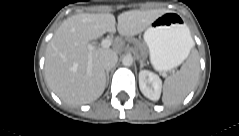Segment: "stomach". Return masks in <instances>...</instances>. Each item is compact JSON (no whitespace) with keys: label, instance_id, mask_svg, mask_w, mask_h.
Wrapping results in <instances>:
<instances>
[{"label":"stomach","instance_id":"obj_1","mask_svg":"<svg viewBox=\"0 0 239 136\" xmlns=\"http://www.w3.org/2000/svg\"><path fill=\"white\" fill-rule=\"evenodd\" d=\"M189 32L182 17L176 12L162 14L147 27L144 41L156 70H171L186 59L191 49Z\"/></svg>","mask_w":239,"mask_h":136}]
</instances>
